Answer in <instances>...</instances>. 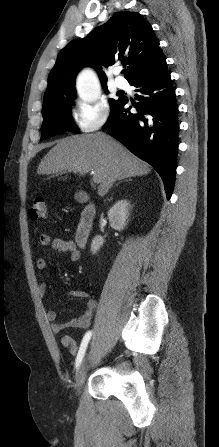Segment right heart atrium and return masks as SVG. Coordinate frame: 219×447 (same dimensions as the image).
<instances>
[{
  "mask_svg": "<svg viewBox=\"0 0 219 447\" xmlns=\"http://www.w3.org/2000/svg\"><path fill=\"white\" fill-rule=\"evenodd\" d=\"M109 106L94 98L91 103H81L75 111V121L80 131L85 133L99 130L109 119Z\"/></svg>",
  "mask_w": 219,
  "mask_h": 447,
  "instance_id": "obj_1",
  "label": "right heart atrium"
}]
</instances>
